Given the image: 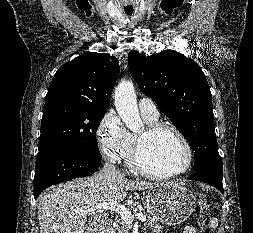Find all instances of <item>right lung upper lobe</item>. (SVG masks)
I'll return each instance as SVG.
<instances>
[{"label":"right lung upper lobe","instance_id":"obj_1","mask_svg":"<svg viewBox=\"0 0 253 233\" xmlns=\"http://www.w3.org/2000/svg\"><path fill=\"white\" fill-rule=\"evenodd\" d=\"M119 72L118 60L109 54H82L55 73L45 105L64 103L107 107Z\"/></svg>","mask_w":253,"mask_h":233}]
</instances>
